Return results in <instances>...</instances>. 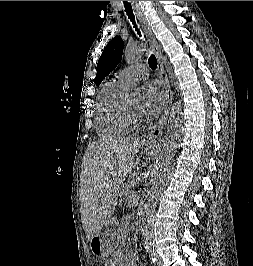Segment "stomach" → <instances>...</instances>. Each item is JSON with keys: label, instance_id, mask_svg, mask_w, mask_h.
<instances>
[{"label": "stomach", "instance_id": "0dacf381", "mask_svg": "<svg viewBox=\"0 0 253 266\" xmlns=\"http://www.w3.org/2000/svg\"><path fill=\"white\" fill-rule=\"evenodd\" d=\"M119 237V222L116 218H110L102 230L90 241V249L96 257L106 258L115 251Z\"/></svg>", "mask_w": 253, "mask_h": 266}]
</instances>
